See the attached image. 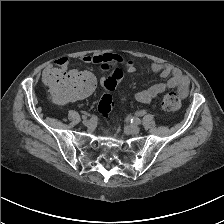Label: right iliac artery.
Listing matches in <instances>:
<instances>
[{"instance_id": "1", "label": "right iliac artery", "mask_w": 224, "mask_h": 224, "mask_svg": "<svg viewBox=\"0 0 224 224\" xmlns=\"http://www.w3.org/2000/svg\"><path fill=\"white\" fill-rule=\"evenodd\" d=\"M90 121H92V123L95 124L97 122V117L96 116H92Z\"/></svg>"}]
</instances>
